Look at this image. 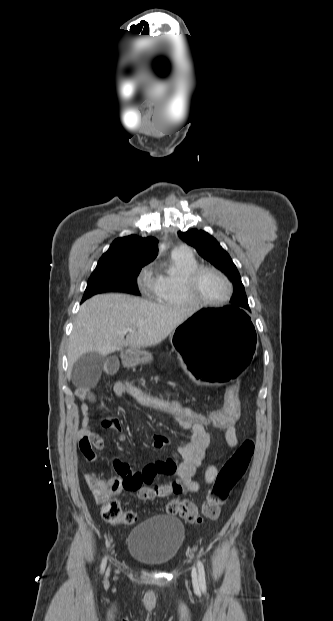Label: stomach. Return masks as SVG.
Segmentation results:
<instances>
[{"label":"stomach","mask_w":333,"mask_h":621,"mask_svg":"<svg viewBox=\"0 0 333 621\" xmlns=\"http://www.w3.org/2000/svg\"><path fill=\"white\" fill-rule=\"evenodd\" d=\"M255 330L250 316L229 306L204 308L186 314L170 334L185 365L200 375L196 382L218 391L240 379L254 361ZM151 355L144 350L128 348L125 360L145 363Z\"/></svg>","instance_id":"obj_1"}]
</instances>
